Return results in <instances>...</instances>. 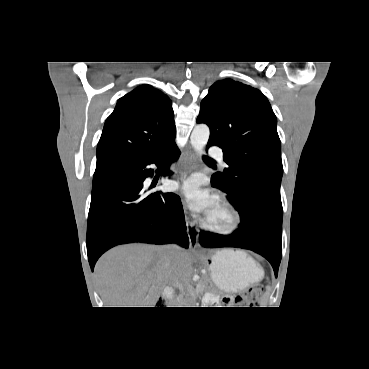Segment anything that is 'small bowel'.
Segmentation results:
<instances>
[{"label":"small bowel","instance_id":"obj_1","mask_svg":"<svg viewBox=\"0 0 369 369\" xmlns=\"http://www.w3.org/2000/svg\"><path fill=\"white\" fill-rule=\"evenodd\" d=\"M212 299H213V296L211 295L207 297V300H212Z\"/></svg>","mask_w":369,"mask_h":369}]
</instances>
